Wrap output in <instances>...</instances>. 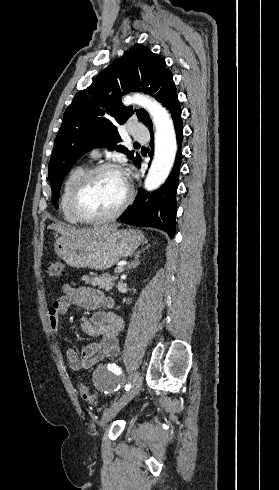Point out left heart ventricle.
I'll return each mask as SVG.
<instances>
[{
  "mask_svg": "<svg viewBox=\"0 0 279 490\" xmlns=\"http://www.w3.org/2000/svg\"><path fill=\"white\" fill-rule=\"evenodd\" d=\"M126 197L121 173L104 171L94 177L84 196L83 207L92 216L106 215L118 208Z\"/></svg>",
  "mask_w": 279,
  "mask_h": 490,
  "instance_id": "left-heart-ventricle-1",
  "label": "left heart ventricle"
}]
</instances>
